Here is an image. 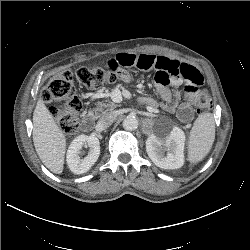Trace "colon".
Listing matches in <instances>:
<instances>
[{"label":"colon","mask_w":250,"mask_h":250,"mask_svg":"<svg viewBox=\"0 0 250 250\" xmlns=\"http://www.w3.org/2000/svg\"><path fill=\"white\" fill-rule=\"evenodd\" d=\"M74 77L88 89H98L123 79L121 72L101 67H81L75 73L65 70L56 74L44 88L42 97L51 106V114L60 128L68 134L76 131L78 114L82 108L75 92ZM211 106L209 93L206 90H199L195 97L197 113H206Z\"/></svg>","instance_id":"5ec220e1"}]
</instances>
